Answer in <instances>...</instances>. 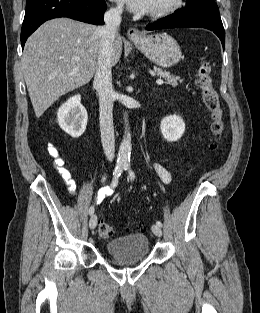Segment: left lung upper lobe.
<instances>
[{
    "label": "left lung upper lobe",
    "mask_w": 260,
    "mask_h": 313,
    "mask_svg": "<svg viewBox=\"0 0 260 313\" xmlns=\"http://www.w3.org/2000/svg\"><path fill=\"white\" fill-rule=\"evenodd\" d=\"M176 13L221 20L218 6L214 0H187L186 7Z\"/></svg>",
    "instance_id": "left-lung-upper-lobe-1"
}]
</instances>
